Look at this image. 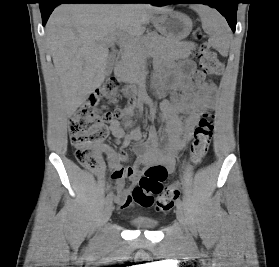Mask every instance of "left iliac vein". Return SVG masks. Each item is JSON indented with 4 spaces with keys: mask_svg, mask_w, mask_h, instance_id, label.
Wrapping results in <instances>:
<instances>
[{
    "mask_svg": "<svg viewBox=\"0 0 279 267\" xmlns=\"http://www.w3.org/2000/svg\"><path fill=\"white\" fill-rule=\"evenodd\" d=\"M176 216H177V219H178L179 223L182 225L183 229L185 230V232L189 236L187 225H186L185 218H184V214H183V211H182L181 208H177Z\"/></svg>",
    "mask_w": 279,
    "mask_h": 267,
    "instance_id": "obj_1",
    "label": "left iliac vein"
}]
</instances>
